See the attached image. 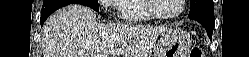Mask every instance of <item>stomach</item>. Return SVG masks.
<instances>
[{
    "mask_svg": "<svg viewBox=\"0 0 249 57\" xmlns=\"http://www.w3.org/2000/svg\"><path fill=\"white\" fill-rule=\"evenodd\" d=\"M190 37L181 30L168 29L161 33L153 57H188Z\"/></svg>",
    "mask_w": 249,
    "mask_h": 57,
    "instance_id": "stomach-1",
    "label": "stomach"
}]
</instances>
